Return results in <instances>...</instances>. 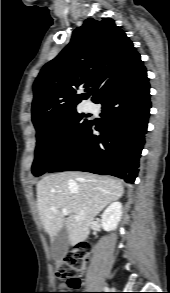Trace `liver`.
<instances>
[{
	"label": "liver",
	"mask_w": 170,
	"mask_h": 293,
	"mask_svg": "<svg viewBox=\"0 0 170 293\" xmlns=\"http://www.w3.org/2000/svg\"><path fill=\"white\" fill-rule=\"evenodd\" d=\"M36 190L45 231L53 240L65 226L72 246L87 239L94 218L124 193L116 179L76 171L47 175L37 183ZM64 208L69 212L68 218H64Z\"/></svg>",
	"instance_id": "obj_1"
}]
</instances>
